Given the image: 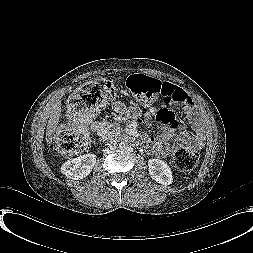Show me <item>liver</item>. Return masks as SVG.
<instances>
[{
  "label": "liver",
  "mask_w": 253,
  "mask_h": 253,
  "mask_svg": "<svg viewBox=\"0 0 253 253\" xmlns=\"http://www.w3.org/2000/svg\"><path fill=\"white\" fill-rule=\"evenodd\" d=\"M61 113V102L57 101L51 108L49 120L46 128V142L51 144L54 139V133L58 127Z\"/></svg>",
  "instance_id": "liver-1"
}]
</instances>
